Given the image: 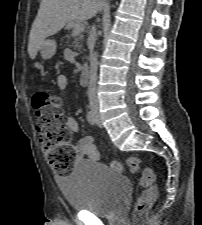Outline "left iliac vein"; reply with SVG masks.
I'll return each instance as SVG.
<instances>
[{"label": "left iliac vein", "instance_id": "obj_1", "mask_svg": "<svg viewBox=\"0 0 202 225\" xmlns=\"http://www.w3.org/2000/svg\"><path fill=\"white\" fill-rule=\"evenodd\" d=\"M96 124H97L99 127L102 126V124H101V119H100V116H99L98 113H96Z\"/></svg>", "mask_w": 202, "mask_h": 225}]
</instances>
